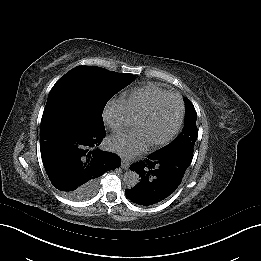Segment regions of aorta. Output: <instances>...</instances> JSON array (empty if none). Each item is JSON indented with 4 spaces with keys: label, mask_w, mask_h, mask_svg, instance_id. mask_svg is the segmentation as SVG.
Instances as JSON below:
<instances>
[{
    "label": "aorta",
    "mask_w": 261,
    "mask_h": 261,
    "mask_svg": "<svg viewBox=\"0 0 261 261\" xmlns=\"http://www.w3.org/2000/svg\"><path fill=\"white\" fill-rule=\"evenodd\" d=\"M139 174L134 170H127L124 173L123 181L128 188H133L139 183Z\"/></svg>",
    "instance_id": "aorta-1"
}]
</instances>
